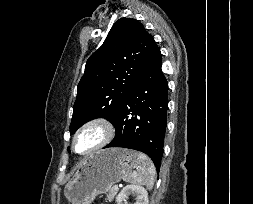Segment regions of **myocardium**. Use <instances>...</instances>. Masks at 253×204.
Segmentation results:
<instances>
[{
  "label": "myocardium",
  "instance_id": "f54148a6",
  "mask_svg": "<svg viewBox=\"0 0 253 204\" xmlns=\"http://www.w3.org/2000/svg\"><path fill=\"white\" fill-rule=\"evenodd\" d=\"M93 126H98L103 130V137L102 139L96 144L94 145L92 148H90L88 151L84 152V153H80L77 151L76 149V141L78 136L85 131L86 129L93 127ZM115 135V127L114 125L106 118L103 117H96V118H92L89 119L88 121L84 122L74 133L73 138H72V150L74 151L75 154L85 157V156H89L93 153H95L96 151L104 148L105 146H107L114 138Z\"/></svg>",
  "mask_w": 253,
  "mask_h": 204
}]
</instances>
